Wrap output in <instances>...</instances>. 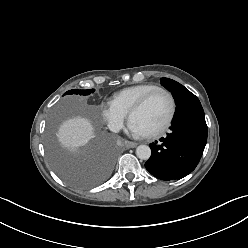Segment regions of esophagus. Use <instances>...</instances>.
Here are the masks:
<instances>
[{"mask_svg": "<svg viewBox=\"0 0 248 248\" xmlns=\"http://www.w3.org/2000/svg\"><path fill=\"white\" fill-rule=\"evenodd\" d=\"M124 144H125V146L127 148H135L137 146V143L131 142V141H127V140L124 141Z\"/></svg>", "mask_w": 248, "mask_h": 248, "instance_id": "1", "label": "esophagus"}]
</instances>
